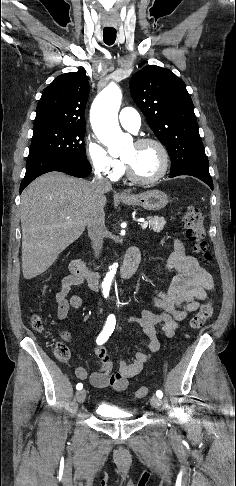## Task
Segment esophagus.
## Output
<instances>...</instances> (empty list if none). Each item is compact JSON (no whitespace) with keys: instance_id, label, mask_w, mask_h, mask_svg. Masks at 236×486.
<instances>
[{"instance_id":"34e87169","label":"esophagus","mask_w":236,"mask_h":486,"mask_svg":"<svg viewBox=\"0 0 236 486\" xmlns=\"http://www.w3.org/2000/svg\"><path fill=\"white\" fill-rule=\"evenodd\" d=\"M120 196H127V193L122 192V193H120Z\"/></svg>"}]
</instances>
